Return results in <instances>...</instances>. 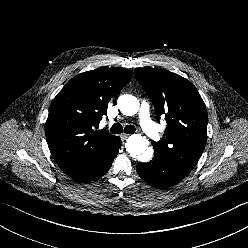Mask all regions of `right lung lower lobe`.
<instances>
[{"mask_svg": "<svg viewBox=\"0 0 248 248\" xmlns=\"http://www.w3.org/2000/svg\"><path fill=\"white\" fill-rule=\"evenodd\" d=\"M121 139L114 136L104 152L92 162H89L83 169L67 173L77 181L89 182L103 176L110 168L114 158L119 152Z\"/></svg>", "mask_w": 248, "mask_h": 248, "instance_id": "right-lung-lower-lobe-1", "label": "right lung lower lobe"}]
</instances>
